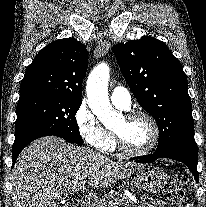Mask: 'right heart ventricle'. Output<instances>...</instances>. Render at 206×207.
I'll list each match as a JSON object with an SVG mask.
<instances>
[{
    "mask_svg": "<svg viewBox=\"0 0 206 207\" xmlns=\"http://www.w3.org/2000/svg\"><path fill=\"white\" fill-rule=\"evenodd\" d=\"M118 107V106H117ZM120 108V107H119ZM112 135V134H111ZM113 137V135H112ZM115 149V141H114V137H113V142H112V145H111V148L110 150H114Z\"/></svg>",
    "mask_w": 206,
    "mask_h": 207,
    "instance_id": "obj_1",
    "label": "right heart ventricle"
}]
</instances>
